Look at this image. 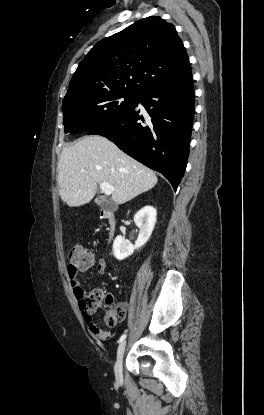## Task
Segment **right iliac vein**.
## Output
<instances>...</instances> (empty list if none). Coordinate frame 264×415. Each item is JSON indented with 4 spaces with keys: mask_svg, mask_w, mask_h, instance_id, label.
Here are the masks:
<instances>
[{
    "mask_svg": "<svg viewBox=\"0 0 264 415\" xmlns=\"http://www.w3.org/2000/svg\"><path fill=\"white\" fill-rule=\"evenodd\" d=\"M126 348V341H122L121 344L118 347L117 350V357L115 362V375L117 379L122 378V360H123V354Z\"/></svg>",
    "mask_w": 264,
    "mask_h": 415,
    "instance_id": "63e3f726",
    "label": "right iliac vein"
}]
</instances>
